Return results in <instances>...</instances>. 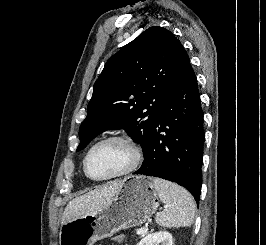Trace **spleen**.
<instances>
[{
  "label": "spleen",
  "mask_w": 266,
  "mask_h": 245,
  "mask_svg": "<svg viewBox=\"0 0 266 245\" xmlns=\"http://www.w3.org/2000/svg\"><path fill=\"white\" fill-rule=\"evenodd\" d=\"M155 191L166 211L157 213L155 221L159 227H190L193 223L196 205L195 201L183 187L163 181V179H153Z\"/></svg>",
  "instance_id": "1"
}]
</instances>
